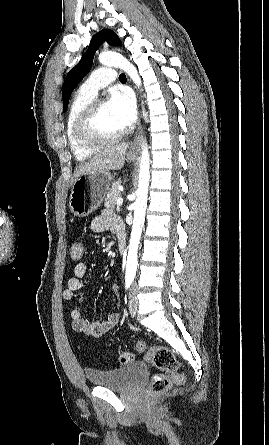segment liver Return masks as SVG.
<instances>
[{
	"label": "liver",
	"mask_w": 269,
	"mask_h": 445,
	"mask_svg": "<svg viewBox=\"0 0 269 445\" xmlns=\"http://www.w3.org/2000/svg\"><path fill=\"white\" fill-rule=\"evenodd\" d=\"M128 143H121L115 146L105 148L102 152L95 155L88 162L77 166L74 172L73 182L82 174L93 173L99 170H119L125 162Z\"/></svg>",
	"instance_id": "1"
}]
</instances>
